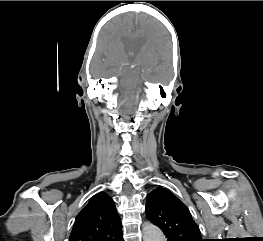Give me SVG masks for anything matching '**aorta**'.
I'll return each instance as SVG.
<instances>
[{"mask_svg":"<svg viewBox=\"0 0 263 241\" xmlns=\"http://www.w3.org/2000/svg\"><path fill=\"white\" fill-rule=\"evenodd\" d=\"M143 241H165V236L158 227L147 223L143 227Z\"/></svg>","mask_w":263,"mask_h":241,"instance_id":"1","label":"aorta"}]
</instances>
